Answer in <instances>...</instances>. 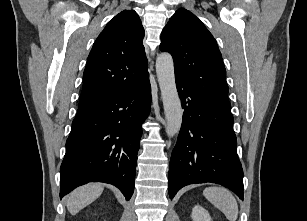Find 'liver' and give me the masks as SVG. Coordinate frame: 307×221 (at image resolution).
<instances>
[{
    "instance_id": "6515ba94",
    "label": "liver",
    "mask_w": 307,
    "mask_h": 221,
    "mask_svg": "<svg viewBox=\"0 0 307 221\" xmlns=\"http://www.w3.org/2000/svg\"><path fill=\"white\" fill-rule=\"evenodd\" d=\"M103 185L91 183L75 189L67 198V209L71 215L95 201L103 192Z\"/></svg>"
}]
</instances>
